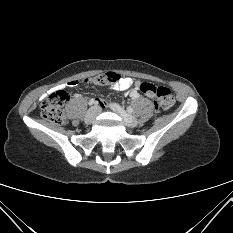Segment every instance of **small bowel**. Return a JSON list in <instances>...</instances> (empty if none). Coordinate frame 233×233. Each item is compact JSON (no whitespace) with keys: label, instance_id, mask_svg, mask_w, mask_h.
<instances>
[{"label":"small bowel","instance_id":"c3829d8e","mask_svg":"<svg viewBox=\"0 0 233 233\" xmlns=\"http://www.w3.org/2000/svg\"><path fill=\"white\" fill-rule=\"evenodd\" d=\"M108 78L114 82L112 88L116 91H124V90H127L129 88L132 87V89L129 91L128 95L130 96V98L132 99H136L139 97V86L141 84V82L139 81H134L133 79L129 78V77H120L118 76L116 73L114 72H109L108 73ZM80 85V82L79 81H72V82H69V83H65V84H62V85H59V86H55V87H50L47 89V92L48 93H51V92H57V91H61L65 88H72L74 86H79ZM86 85H91V80H86ZM46 97V95H44L42 97V100ZM151 97V96H149Z\"/></svg>","mask_w":233,"mask_h":233}]
</instances>
